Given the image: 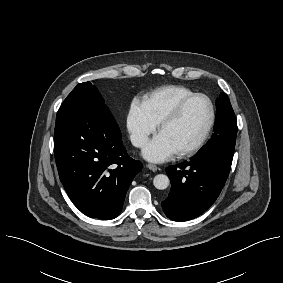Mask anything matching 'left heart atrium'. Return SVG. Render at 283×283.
Returning a JSON list of instances; mask_svg holds the SVG:
<instances>
[{"instance_id":"obj_1","label":"left heart atrium","mask_w":283,"mask_h":283,"mask_svg":"<svg viewBox=\"0 0 283 283\" xmlns=\"http://www.w3.org/2000/svg\"><path fill=\"white\" fill-rule=\"evenodd\" d=\"M177 154L175 147L162 135L152 138L143 148L142 155L151 162H165Z\"/></svg>"}]
</instances>
